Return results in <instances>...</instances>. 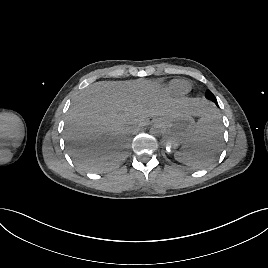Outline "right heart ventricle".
Returning <instances> with one entry per match:
<instances>
[{
  "label": "right heart ventricle",
  "mask_w": 268,
  "mask_h": 268,
  "mask_svg": "<svg viewBox=\"0 0 268 268\" xmlns=\"http://www.w3.org/2000/svg\"><path fill=\"white\" fill-rule=\"evenodd\" d=\"M170 88L175 93L183 95L190 90V84L184 80H174L170 83Z\"/></svg>",
  "instance_id": "right-heart-ventricle-1"
}]
</instances>
